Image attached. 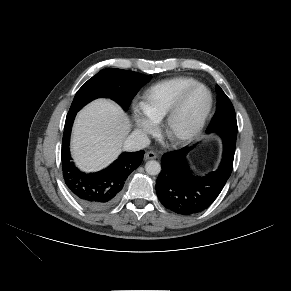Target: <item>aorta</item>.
<instances>
[{
	"label": "aorta",
	"instance_id": "762f6f07",
	"mask_svg": "<svg viewBox=\"0 0 291 291\" xmlns=\"http://www.w3.org/2000/svg\"><path fill=\"white\" fill-rule=\"evenodd\" d=\"M145 170L149 175H158L161 172V166L159 162L150 160L145 164Z\"/></svg>",
	"mask_w": 291,
	"mask_h": 291
}]
</instances>
